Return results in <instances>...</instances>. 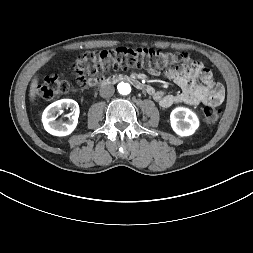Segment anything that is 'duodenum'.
I'll return each mask as SVG.
<instances>
[{"label": "duodenum", "instance_id": "obj_1", "mask_svg": "<svg viewBox=\"0 0 253 253\" xmlns=\"http://www.w3.org/2000/svg\"><path fill=\"white\" fill-rule=\"evenodd\" d=\"M128 82L132 84L135 88L147 92L148 94H153V89L140 80L136 79L135 77L128 76V75H113L103 79L102 84L97 85L98 87H105L108 85H112L118 82Z\"/></svg>", "mask_w": 253, "mask_h": 253}]
</instances>
